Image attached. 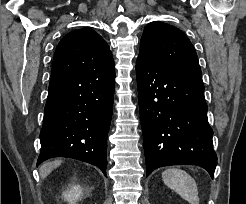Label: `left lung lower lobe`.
I'll use <instances>...</instances> for the list:
<instances>
[{"instance_id":"1","label":"left lung lower lobe","mask_w":246,"mask_h":204,"mask_svg":"<svg viewBox=\"0 0 246 204\" xmlns=\"http://www.w3.org/2000/svg\"><path fill=\"white\" fill-rule=\"evenodd\" d=\"M136 76L146 176L162 166L190 164L213 178L217 156L202 78L142 59H137Z\"/></svg>"}]
</instances>
